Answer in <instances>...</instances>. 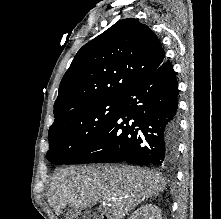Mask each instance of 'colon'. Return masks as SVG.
Returning a JSON list of instances; mask_svg holds the SVG:
<instances>
[{"mask_svg": "<svg viewBox=\"0 0 221 219\" xmlns=\"http://www.w3.org/2000/svg\"><path fill=\"white\" fill-rule=\"evenodd\" d=\"M67 219H98L97 215L88 210H71L68 212Z\"/></svg>", "mask_w": 221, "mask_h": 219, "instance_id": "colon-1", "label": "colon"}]
</instances>
